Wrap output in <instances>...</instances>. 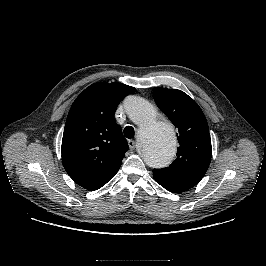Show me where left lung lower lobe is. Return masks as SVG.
Wrapping results in <instances>:
<instances>
[{"instance_id": "left-lung-lower-lobe-1", "label": "left lung lower lobe", "mask_w": 266, "mask_h": 266, "mask_svg": "<svg viewBox=\"0 0 266 266\" xmlns=\"http://www.w3.org/2000/svg\"><path fill=\"white\" fill-rule=\"evenodd\" d=\"M156 180V179H155ZM161 186H163L166 190H168V191H170V192H173V193H180V192H183V191H180V190H178V189H176V188H173V187H171V186H169V185H167V184H165V183H163V182H161V181H159V180H156Z\"/></svg>"}]
</instances>
